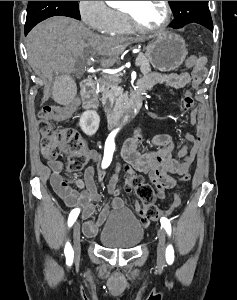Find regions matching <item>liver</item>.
Masks as SVG:
<instances>
[{"label": "liver", "mask_w": 237, "mask_h": 300, "mask_svg": "<svg viewBox=\"0 0 237 300\" xmlns=\"http://www.w3.org/2000/svg\"><path fill=\"white\" fill-rule=\"evenodd\" d=\"M135 37H102L81 21L51 17L36 25L27 37L29 63L38 73H76L84 53L102 55L103 67H112Z\"/></svg>", "instance_id": "obj_1"}]
</instances>
